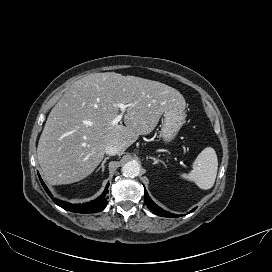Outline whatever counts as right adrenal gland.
<instances>
[{
    "instance_id": "2a0ac1e0",
    "label": "right adrenal gland",
    "mask_w": 272,
    "mask_h": 272,
    "mask_svg": "<svg viewBox=\"0 0 272 272\" xmlns=\"http://www.w3.org/2000/svg\"><path fill=\"white\" fill-rule=\"evenodd\" d=\"M108 159H109V157H105V158H104V160L102 161L100 167L96 170V172H98L100 169H101L102 173L104 172V170H105V163H106V161H107Z\"/></svg>"
}]
</instances>
